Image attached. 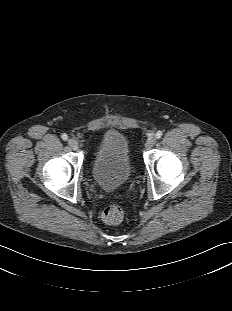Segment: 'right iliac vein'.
<instances>
[{"mask_svg":"<svg viewBox=\"0 0 232 311\" xmlns=\"http://www.w3.org/2000/svg\"><path fill=\"white\" fill-rule=\"evenodd\" d=\"M68 144L69 146L73 149V150H77L78 149V143L75 139H69L68 140Z\"/></svg>","mask_w":232,"mask_h":311,"instance_id":"obj_1","label":"right iliac vein"}]
</instances>
